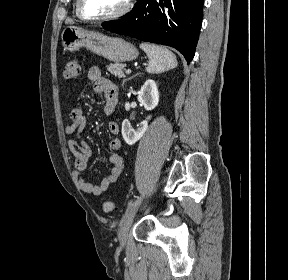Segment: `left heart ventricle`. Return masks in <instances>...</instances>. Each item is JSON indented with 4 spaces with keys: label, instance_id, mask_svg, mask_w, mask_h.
Masks as SVG:
<instances>
[{
    "label": "left heart ventricle",
    "instance_id": "left-heart-ventricle-1",
    "mask_svg": "<svg viewBox=\"0 0 288 280\" xmlns=\"http://www.w3.org/2000/svg\"><path fill=\"white\" fill-rule=\"evenodd\" d=\"M125 0H82V9L89 17L111 15L122 8Z\"/></svg>",
    "mask_w": 288,
    "mask_h": 280
}]
</instances>
